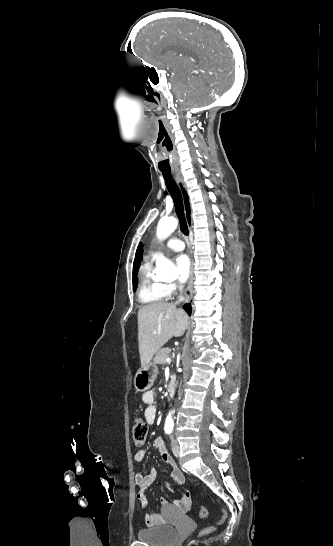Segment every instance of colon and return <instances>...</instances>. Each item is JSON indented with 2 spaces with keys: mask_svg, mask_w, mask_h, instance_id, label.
<instances>
[{
  "mask_svg": "<svg viewBox=\"0 0 333 546\" xmlns=\"http://www.w3.org/2000/svg\"><path fill=\"white\" fill-rule=\"evenodd\" d=\"M132 437H133V441L135 445L137 446H142L145 443L146 437H147V424L143 419L138 418L134 421L132 426ZM207 515H208L207 508L205 506H202L199 510L200 518H206ZM226 518H227V514L225 511H223L222 517L216 523V525L206 527L205 529L202 530L201 535H207L212 533L216 529V527L222 525L225 522Z\"/></svg>",
  "mask_w": 333,
  "mask_h": 546,
  "instance_id": "1",
  "label": "colon"
}]
</instances>
